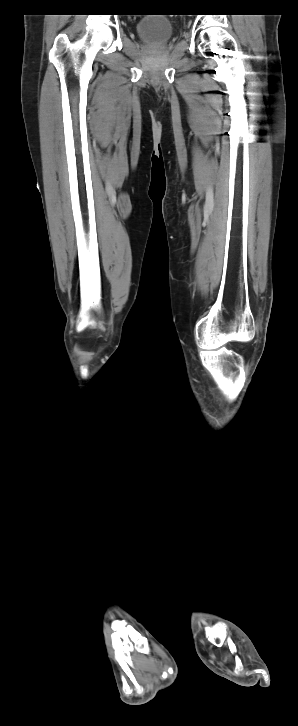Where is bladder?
I'll return each instance as SVG.
<instances>
[{
    "label": "bladder",
    "instance_id": "31cf9c89",
    "mask_svg": "<svg viewBox=\"0 0 298 726\" xmlns=\"http://www.w3.org/2000/svg\"><path fill=\"white\" fill-rule=\"evenodd\" d=\"M137 35L146 43H166L173 34L172 22L161 14H147L135 24Z\"/></svg>",
    "mask_w": 298,
    "mask_h": 726
}]
</instances>
